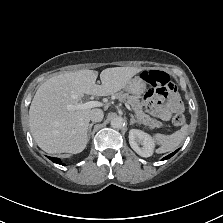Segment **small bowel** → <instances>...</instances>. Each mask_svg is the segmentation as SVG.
Masks as SVG:
<instances>
[{"mask_svg":"<svg viewBox=\"0 0 223 223\" xmlns=\"http://www.w3.org/2000/svg\"><path fill=\"white\" fill-rule=\"evenodd\" d=\"M143 103L147 110L162 122L168 121L172 113L183 109L176 90L166 86H157L148 90L143 96Z\"/></svg>","mask_w":223,"mask_h":223,"instance_id":"small-bowel-1","label":"small bowel"}]
</instances>
